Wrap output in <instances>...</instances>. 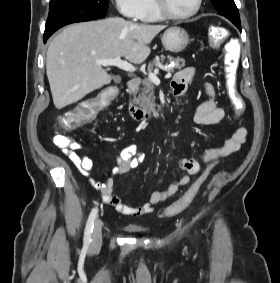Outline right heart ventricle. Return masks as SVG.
I'll use <instances>...</instances> for the list:
<instances>
[{
	"mask_svg": "<svg viewBox=\"0 0 280 283\" xmlns=\"http://www.w3.org/2000/svg\"><path fill=\"white\" fill-rule=\"evenodd\" d=\"M141 20L144 22H157L161 20V17L154 8L152 0H146V7Z\"/></svg>",
	"mask_w": 280,
	"mask_h": 283,
	"instance_id": "right-heart-ventricle-1",
	"label": "right heart ventricle"
}]
</instances>
